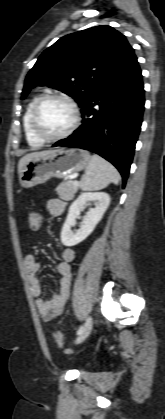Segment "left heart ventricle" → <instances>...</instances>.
<instances>
[{"label": "left heart ventricle", "mask_w": 165, "mask_h": 419, "mask_svg": "<svg viewBox=\"0 0 165 419\" xmlns=\"http://www.w3.org/2000/svg\"><path fill=\"white\" fill-rule=\"evenodd\" d=\"M73 113L70 107L57 100L46 101L38 113L41 130L49 136L64 132L72 123Z\"/></svg>", "instance_id": "b2bd125f"}]
</instances>
